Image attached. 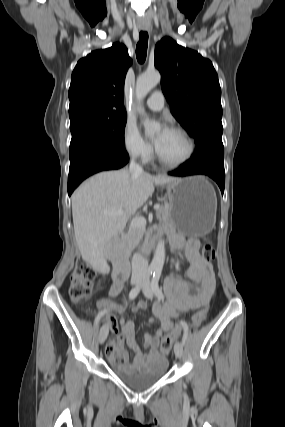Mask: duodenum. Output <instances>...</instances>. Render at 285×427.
<instances>
[{
  "label": "duodenum",
  "instance_id": "duodenum-1",
  "mask_svg": "<svg viewBox=\"0 0 285 427\" xmlns=\"http://www.w3.org/2000/svg\"><path fill=\"white\" fill-rule=\"evenodd\" d=\"M158 236L154 233H149L145 237L143 252H148L150 248L156 243ZM115 269L113 275L116 279L124 281L129 274V261L118 249L114 256Z\"/></svg>",
  "mask_w": 285,
  "mask_h": 427
}]
</instances>
